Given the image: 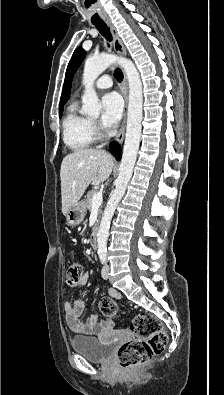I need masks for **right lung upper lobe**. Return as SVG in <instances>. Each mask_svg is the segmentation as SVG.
<instances>
[{"instance_id":"1","label":"right lung upper lobe","mask_w":224,"mask_h":395,"mask_svg":"<svg viewBox=\"0 0 224 395\" xmlns=\"http://www.w3.org/2000/svg\"><path fill=\"white\" fill-rule=\"evenodd\" d=\"M63 110L62 102H60V111Z\"/></svg>"}]
</instances>
